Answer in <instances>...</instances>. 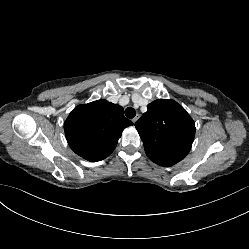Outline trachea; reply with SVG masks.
I'll return each mask as SVG.
<instances>
[{
  "mask_svg": "<svg viewBox=\"0 0 249 249\" xmlns=\"http://www.w3.org/2000/svg\"><path fill=\"white\" fill-rule=\"evenodd\" d=\"M125 115H126L127 118L132 119V118L135 117L136 112H135V110L132 107H128L125 110Z\"/></svg>",
  "mask_w": 249,
  "mask_h": 249,
  "instance_id": "1",
  "label": "trachea"
}]
</instances>
